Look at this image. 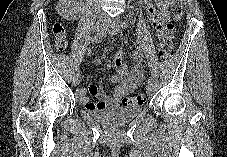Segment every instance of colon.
Segmentation results:
<instances>
[{"instance_id":"1","label":"colon","mask_w":227,"mask_h":157,"mask_svg":"<svg viewBox=\"0 0 227 157\" xmlns=\"http://www.w3.org/2000/svg\"><path fill=\"white\" fill-rule=\"evenodd\" d=\"M183 14V0H171V15L175 21H179ZM173 25H170L169 32L172 33ZM53 38L59 50H64L68 44L67 33L64 26L60 23H55L53 26ZM173 51V43L170 36L163 38L159 44L158 53L162 59L170 57ZM143 95H135L125 98L123 104L125 106H140L145 103Z\"/></svg>"}]
</instances>
